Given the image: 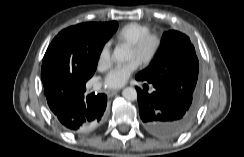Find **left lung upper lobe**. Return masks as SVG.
Wrapping results in <instances>:
<instances>
[{
  "label": "left lung upper lobe",
  "mask_w": 244,
  "mask_h": 157,
  "mask_svg": "<svg viewBox=\"0 0 244 157\" xmlns=\"http://www.w3.org/2000/svg\"><path fill=\"white\" fill-rule=\"evenodd\" d=\"M136 77L157 82L180 101L189 102L197 111L202 84L194 46L185 34L172 30L164 33L160 53L149 67Z\"/></svg>",
  "instance_id": "left-lung-upper-lobe-1"
}]
</instances>
